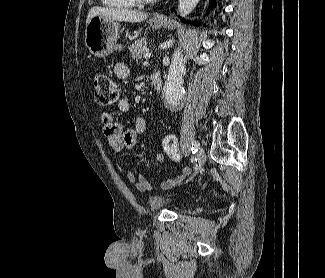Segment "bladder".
Wrapping results in <instances>:
<instances>
[{
  "label": "bladder",
  "mask_w": 325,
  "mask_h": 278,
  "mask_svg": "<svg viewBox=\"0 0 325 278\" xmlns=\"http://www.w3.org/2000/svg\"><path fill=\"white\" fill-rule=\"evenodd\" d=\"M172 203V198L168 195L155 194L148 198V204L151 209L159 210L167 207Z\"/></svg>",
  "instance_id": "1"
}]
</instances>
